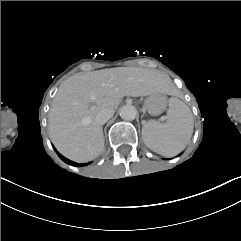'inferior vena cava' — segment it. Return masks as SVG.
<instances>
[{"mask_svg":"<svg viewBox=\"0 0 241 241\" xmlns=\"http://www.w3.org/2000/svg\"><path fill=\"white\" fill-rule=\"evenodd\" d=\"M113 114L114 112L112 110L104 109L96 115L95 121L99 125H103L113 116Z\"/></svg>","mask_w":241,"mask_h":241,"instance_id":"1","label":"inferior vena cava"}]
</instances>
